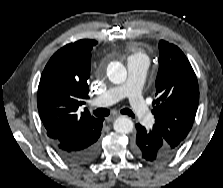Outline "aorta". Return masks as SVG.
I'll list each match as a JSON object with an SVG mask.
<instances>
[{
  "label": "aorta",
  "mask_w": 223,
  "mask_h": 188,
  "mask_svg": "<svg viewBox=\"0 0 223 188\" xmlns=\"http://www.w3.org/2000/svg\"><path fill=\"white\" fill-rule=\"evenodd\" d=\"M107 76L114 84H122L127 79V71L124 65L118 61H112L107 66ZM116 132L121 134H129L134 129V123L128 117H118L113 124Z\"/></svg>",
  "instance_id": "aorta-1"
}]
</instances>
